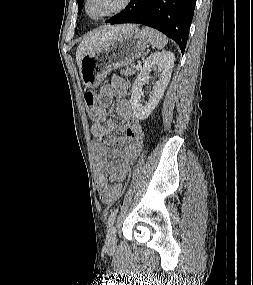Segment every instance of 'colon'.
Masks as SVG:
<instances>
[{"mask_svg":"<svg viewBox=\"0 0 253 285\" xmlns=\"http://www.w3.org/2000/svg\"><path fill=\"white\" fill-rule=\"evenodd\" d=\"M84 100H85L86 107L88 109H91L96 103L95 94L92 91H87L84 95ZM113 188L115 192L118 193L119 195L122 193L123 188L120 183L114 184Z\"/></svg>","mask_w":253,"mask_h":285,"instance_id":"colon-1","label":"colon"}]
</instances>
